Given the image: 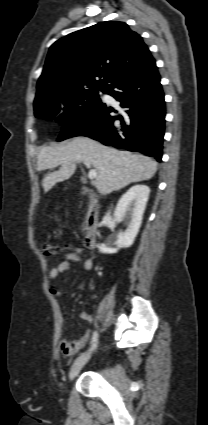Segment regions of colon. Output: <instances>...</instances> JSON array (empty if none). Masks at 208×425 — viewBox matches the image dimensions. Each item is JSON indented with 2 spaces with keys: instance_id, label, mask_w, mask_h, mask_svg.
I'll return each mask as SVG.
<instances>
[{
  "instance_id": "colon-1",
  "label": "colon",
  "mask_w": 208,
  "mask_h": 425,
  "mask_svg": "<svg viewBox=\"0 0 208 425\" xmlns=\"http://www.w3.org/2000/svg\"><path fill=\"white\" fill-rule=\"evenodd\" d=\"M41 250L43 254L47 257H53L59 253V248L50 243H43L41 245Z\"/></svg>"
}]
</instances>
